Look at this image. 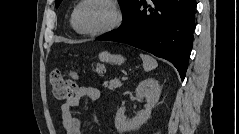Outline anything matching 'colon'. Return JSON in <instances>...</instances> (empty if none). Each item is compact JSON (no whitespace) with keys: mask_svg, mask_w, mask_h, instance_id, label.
Masks as SVG:
<instances>
[{"mask_svg":"<svg viewBox=\"0 0 239 134\" xmlns=\"http://www.w3.org/2000/svg\"><path fill=\"white\" fill-rule=\"evenodd\" d=\"M94 71L98 74L104 71V66L99 64ZM77 73L73 70L62 74L55 70L50 74V85L54 96L58 99L70 98L76 90Z\"/></svg>","mask_w":239,"mask_h":134,"instance_id":"obj_1","label":"colon"}]
</instances>
